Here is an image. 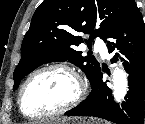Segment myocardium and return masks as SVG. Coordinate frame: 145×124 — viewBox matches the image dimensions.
<instances>
[{
  "instance_id": "obj_1",
  "label": "myocardium",
  "mask_w": 145,
  "mask_h": 124,
  "mask_svg": "<svg viewBox=\"0 0 145 124\" xmlns=\"http://www.w3.org/2000/svg\"><path fill=\"white\" fill-rule=\"evenodd\" d=\"M49 70H62V71H65L66 73L70 74L78 84V92H77L76 96L71 101H69L67 104H65L64 106L60 107L57 110H53V111L46 112V113H40V114L26 113L23 108V96H24L26 88L28 87V85L31 83V81L35 77H37L39 74L49 71ZM86 93H87L86 84L74 68H72L69 65L64 64V63H53V64H48V65L38 68L37 70H35L32 74H30L28 76V78L25 80V82L22 84V86L20 88V91L18 94V106H19L20 112L22 113V115L24 117L29 118V119H44V118L58 116V115H61V114H64V113L70 111L71 109L76 107L85 98Z\"/></svg>"
}]
</instances>
